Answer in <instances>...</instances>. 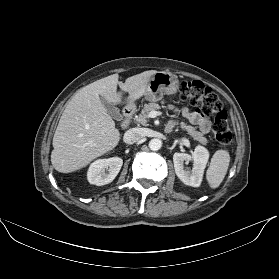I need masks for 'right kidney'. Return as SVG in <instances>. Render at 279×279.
<instances>
[{"instance_id":"right-kidney-1","label":"right kidney","mask_w":279,"mask_h":279,"mask_svg":"<svg viewBox=\"0 0 279 279\" xmlns=\"http://www.w3.org/2000/svg\"><path fill=\"white\" fill-rule=\"evenodd\" d=\"M123 164L120 157L99 159L94 161L87 172V179L90 184L97 186L111 183L118 175Z\"/></svg>"}]
</instances>
